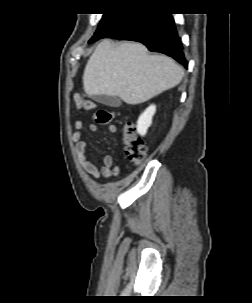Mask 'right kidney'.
I'll return each instance as SVG.
<instances>
[{
    "instance_id": "1",
    "label": "right kidney",
    "mask_w": 252,
    "mask_h": 303,
    "mask_svg": "<svg viewBox=\"0 0 252 303\" xmlns=\"http://www.w3.org/2000/svg\"><path fill=\"white\" fill-rule=\"evenodd\" d=\"M156 112V106L150 105L139 117L137 121V132L144 136L147 133V129L152 124L153 115Z\"/></svg>"
}]
</instances>
